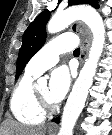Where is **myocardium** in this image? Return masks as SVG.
<instances>
[{
	"mask_svg": "<svg viewBox=\"0 0 112 135\" xmlns=\"http://www.w3.org/2000/svg\"><path fill=\"white\" fill-rule=\"evenodd\" d=\"M34 97L36 100V103L41 111L44 113H52L57 109V105L53 102H50L43 98L37 91V89L34 88Z\"/></svg>",
	"mask_w": 112,
	"mask_h": 135,
	"instance_id": "myocardium-1",
	"label": "myocardium"
}]
</instances>
